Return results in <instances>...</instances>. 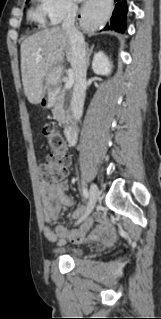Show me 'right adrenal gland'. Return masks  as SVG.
I'll use <instances>...</instances> for the list:
<instances>
[{
    "instance_id": "right-adrenal-gland-1",
    "label": "right adrenal gland",
    "mask_w": 161,
    "mask_h": 319,
    "mask_svg": "<svg viewBox=\"0 0 161 319\" xmlns=\"http://www.w3.org/2000/svg\"><path fill=\"white\" fill-rule=\"evenodd\" d=\"M93 49H94V45L91 48L87 47V61H86L87 69H88V67L90 65V56H91V54L93 52Z\"/></svg>"
}]
</instances>
